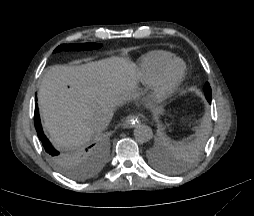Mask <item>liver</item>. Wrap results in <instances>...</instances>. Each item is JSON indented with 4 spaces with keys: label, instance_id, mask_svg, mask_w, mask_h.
<instances>
[{
    "label": "liver",
    "instance_id": "6515ba94",
    "mask_svg": "<svg viewBox=\"0 0 254 216\" xmlns=\"http://www.w3.org/2000/svg\"><path fill=\"white\" fill-rule=\"evenodd\" d=\"M134 67L124 57L49 67L39 86L38 104L51 140L67 149L87 142L94 133L92 116L129 99L135 89Z\"/></svg>",
    "mask_w": 254,
    "mask_h": 216
}]
</instances>
